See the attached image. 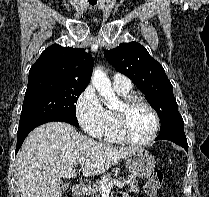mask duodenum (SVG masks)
<instances>
[{"mask_svg": "<svg viewBox=\"0 0 209 197\" xmlns=\"http://www.w3.org/2000/svg\"><path fill=\"white\" fill-rule=\"evenodd\" d=\"M86 192V189L82 185H74L72 188V196L73 197H82Z\"/></svg>", "mask_w": 209, "mask_h": 197, "instance_id": "410a0bca", "label": "duodenum"}]
</instances>
